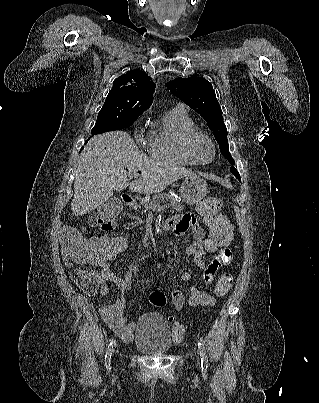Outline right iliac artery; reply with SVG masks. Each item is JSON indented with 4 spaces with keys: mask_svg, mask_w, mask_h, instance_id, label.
<instances>
[{
    "mask_svg": "<svg viewBox=\"0 0 319 403\" xmlns=\"http://www.w3.org/2000/svg\"><path fill=\"white\" fill-rule=\"evenodd\" d=\"M114 345H115V341L111 340L108 345V348H107V352L105 355V365H106L107 369H110V361H111V356H112Z\"/></svg>",
    "mask_w": 319,
    "mask_h": 403,
    "instance_id": "82829eb1",
    "label": "right iliac artery"
}]
</instances>
